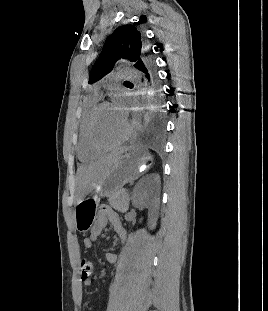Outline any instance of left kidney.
I'll return each instance as SVG.
<instances>
[{
	"instance_id": "5707ae66",
	"label": "left kidney",
	"mask_w": 268,
	"mask_h": 311,
	"mask_svg": "<svg viewBox=\"0 0 268 311\" xmlns=\"http://www.w3.org/2000/svg\"><path fill=\"white\" fill-rule=\"evenodd\" d=\"M160 176L150 174L142 178L135 186L132 195V204L136 208H148V226L154 229L158 219L160 204Z\"/></svg>"
}]
</instances>
